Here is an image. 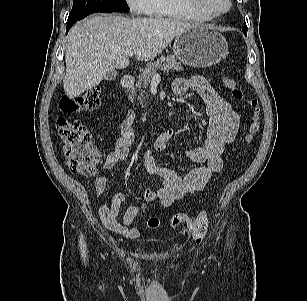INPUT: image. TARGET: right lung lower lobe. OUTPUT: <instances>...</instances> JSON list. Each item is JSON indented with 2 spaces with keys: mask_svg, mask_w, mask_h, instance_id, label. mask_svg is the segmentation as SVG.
<instances>
[{
  "mask_svg": "<svg viewBox=\"0 0 307 301\" xmlns=\"http://www.w3.org/2000/svg\"><path fill=\"white\" fill-rule=\"evenodd\" d=\"M76 21H72V22H67V32L69 31V29L72 27V25L75 23ZM66 32V34H67Z\"/></svg>",
  "mask_w": 307,
  "mask_h": 301,
  "instance_id": "right-lung-lower-lobe-1",
  "label": "right lung lower lobe"
}]
</instances>
